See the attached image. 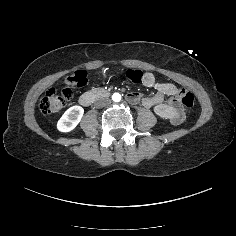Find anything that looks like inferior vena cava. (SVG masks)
<instances>
[{
    "label": "inferior vena cava",
    "instance_id": "602c4592",
    "mask_svg": "<svg viewBox=\"0 0 236 236\" xmlns=\"http://www.w3.org/2000/svg\"><path fill=\"white\" fill-rule=\"evenodd\" d=\"M111 103V100L109 98H99L98 100L95 101L94 106L96 108H102Z\"/></svg>",
    "mask_w": 236,
    "mask_h": 236
}]
</instances>
